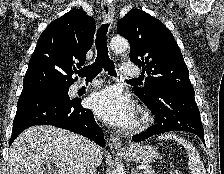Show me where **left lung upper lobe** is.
I'll use <instances>...</instances> for the list:
<instances>
[{"instance_id": "left-lung-upper-lobe-1", "label": "left lung upper lobe", "mask_w": 224, "mask_h": 174, "mask_svg": "<svg viewBox=\"0 0 224 174\" xmlns=\"http://www.w3.org/2000/svg\"><path fill=\"white\" fill-rule=\"evenodd\" d=\"M117 32L130 43V60L145 72V87L133 88L140 99L164 88L193 89L177 42L160 20L132 9L119 21Z\"/></svg>"}]
</instances>
